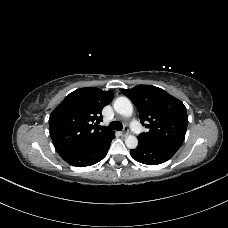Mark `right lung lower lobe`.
<instances>
[{"label":"right lung lower lobe","mask_w":228,"mask_h":228,"mask_svg":"<svg viewBox=\"0 0 228 228\" xmlns=\"http://www.w3.org/2000/svg\"><path fill=\"white\" fill-rule=\"evenodd\" d=\"M114 138L115 133L112 132L96 143L81 148L69 149L59 153V155L70 165L77 167L90 166L98 163L106 156Z\"/></svg>","instance_id":"obj_1"}]
</instances>
